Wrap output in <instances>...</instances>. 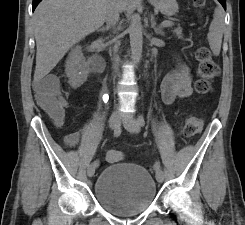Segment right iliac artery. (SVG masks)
Returning <instances> with one entry per match:
<instances>
[{"mask_svg": "<svg viewBox=\"0 0 245 225\" xmlns=\"http://www.w3.org/2000/svg\"><path fill=\"white\" fill-rule=\"evenodd\" d=\"M113 134H114V137H118V136L121 134V127H120V125L117 126V127L115 128ZM93 165H94L95 167H98V166H99V160H95V161L93 162Z\"/></svg>", "mask_w": 245, "mask_h": 225, "instance_id": "1", "label": "right iliac artery"}]
</instances>
